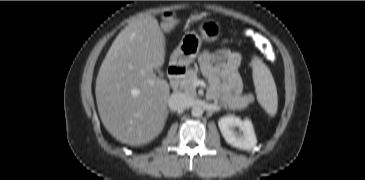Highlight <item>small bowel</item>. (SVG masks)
<instances>
[{"label": "small bowel", "mask_w": 365, "mask_h": 180, "mask_svg": "<svg viewBox=\"0 0 365 180\" xmlns=\"http://www.w3.org/2000/svg\"><path fill=\"white\" fill-rule=\"evenodd\" d=\"M243 55L230 49H220L214 53L203 52L199 63L210 83V95L232 98L242 91V80L238 68Z\"/></svg>", "instance_id": "obj_1"}]
</instances>
